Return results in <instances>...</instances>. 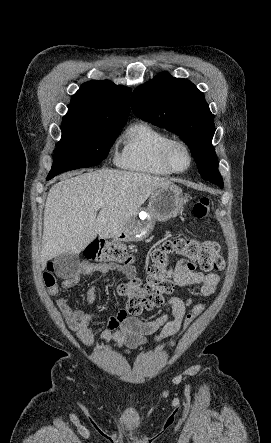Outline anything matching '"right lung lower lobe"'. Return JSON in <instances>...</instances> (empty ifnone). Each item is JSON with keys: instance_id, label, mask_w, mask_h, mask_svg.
<instances>
[{"instance_id": "obj_1", "label": "right lung lower lobe", "mask_w": 271, "mask_h": 443, "mask_svg": "<svg viewBox=\"0 0 271 443\" xmlns=\"http://www.w3.org/2000/svg\"><path fill=\"white\" fill-rule=\"evenodd\" d=\"M54 176H50V175H48V177H47V180H49V179H51V178H53Z\"/></svg>"}]
</instances>
